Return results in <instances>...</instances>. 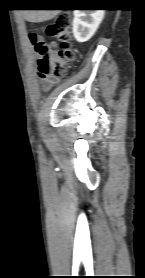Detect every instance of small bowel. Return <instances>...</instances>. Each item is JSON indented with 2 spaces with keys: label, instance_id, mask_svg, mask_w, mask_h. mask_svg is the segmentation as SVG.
I'll return each instance as SVG.
<instances>
[{
  "label": "small bowel",
  "instance_id": "obj_1",
  "mask_svg": "<svg viewBox=\"0 0 145 278\" xmlns=\"http://www.w3.org/2000/svg\"><path fill=\"white\" fill-rule=\"evenodd\" d=\"M57 81L49 77L43 78L42 85L45 90L50 89Z\"/></svg>",
  "mask_w": 145,
  "mask_h": 278
}]
</instances>
